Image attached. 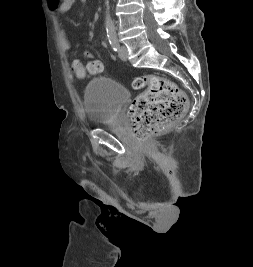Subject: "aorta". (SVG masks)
Returning a JSON list of instances; mask_svg holds the SVG:
<instances>
[{
  "mask_svg": "<svg viewBox=\"0 0 253 267\" xmlns=\"http://www.w3.org/2000/svg\"><path fill=\"white\" fill-rule=\"evenodd\" d=\"M105 24H106V28H114L113 20L110 16L109 12H106Z\"/></svg>",
  "mask_w": 253,
  "mask_h": 267,
  "instance_id": "obj_1",
  "label": "aorta"
}]
</instances>
